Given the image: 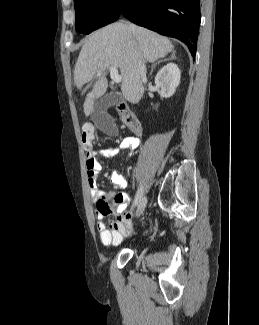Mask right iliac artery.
Instances as JSON below:
<instances>
[{
    "label": "right iliac artery",
    "mask_w": 259,
    "mask_h": 325,
    "mask_svg": "<svg viewBox=\"0 0 259 325\" xmlns=\"http://www.w3.org/2000/svg\"><path fill=\"white\" fill-rule=\"evenodd\" d=\"M136 178L138 179L139 177L137 176ZM135 185H136V187H137V189H136V190H137V191H136L137 193H136L135 198H134V203H133L134 206L137 205V203H138V201H139V199H140V197H141V195H142V192H143V191H142V190H143V189H142L143 186H142V184H141V182H140L139 180L136 182Z\"/></svg>",
    "instance_id": "obj_1"
}]
</instances>
